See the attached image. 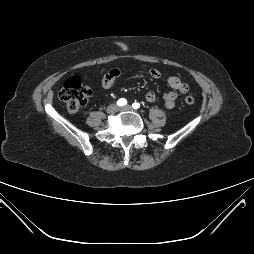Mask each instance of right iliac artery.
Here are the masks:
<instances>
[{
  "instance_id": "1",
  "label": "right iliac artery",
  "mask_w": 254,
  "mask_h": 254,
  "mask_svg": "<svg viewBox=\"0 0 254 254\" xmlns=\"http://www.w3.org/2000/svg\"><path fill=\"white\" fill-rule=\"evenodd\" d=\"M126 104H127V100L124 99V98H121V99H119V100L117 101V105H118V106H124V105H126Z\"/></svg>"
}]
</instances>
